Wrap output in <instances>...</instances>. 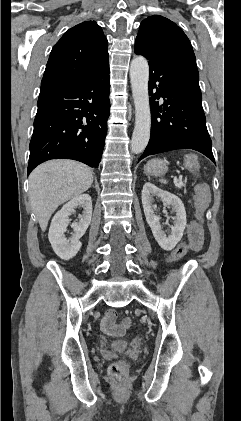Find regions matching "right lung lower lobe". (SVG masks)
<instances>
[{"label": "right lung lower lobe", "instance_id": "obj_1", "mask_svg": "<svg viewBox=\"0 0 241 421\" xmlns=\"http://www.w3.org/2000/svg\"><path fill=\"white\" fill-rule=\"evenodd\" d=\"M109 91V64L90 76L41 89L27 172L51 159L97 168L110 114Z\"/></svg>", "mask_w": 241, "mask_h": 421}]
</instances>
